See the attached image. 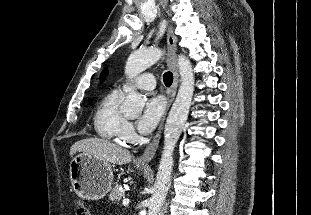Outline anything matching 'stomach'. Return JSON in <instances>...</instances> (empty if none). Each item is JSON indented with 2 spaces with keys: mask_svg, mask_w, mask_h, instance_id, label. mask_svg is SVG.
I'll list each match as a JSON object with an SVG mask.
<instances>
[{
  "mask_svg": "<svg viewBox=\"0 0 311 215\" xmlns=\"http://www.w3.org/2000/svg\"><path fill=\"white\" fill-rule=\"evenodd\" d=\"M69 166L72 188L80 198L99 200L110 191L113 180L110 163L81 153Z\"/></svg>",
  "mask_w": 311,
  "mask_h": 215,
  "instance_id": "1",
  "label": "stomach"
}]
</instances>
